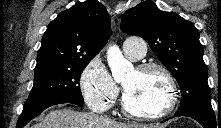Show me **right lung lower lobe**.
Masks as SVG:
<instances>
[{"label":"right lung lower lobe","instance_id":"right-lung-lower-lobe-1","mask_svg":"<svg viewBox=\"0 0 221 128\" xmlns=\"http://www.w3.org/2000/svg\"><path fill=\"white\" fill-rule=\"evenodd\" d=\"M62 103H73V104L81 106V104L78 102L68 100V99H63V98H57V99L46 100V101H43L41 103L29 106V107H25L23 108V111L17 122V128L24 127L31 119L35 118L37 115L43 112L46 108L52 105L62 104Z\"/></svg>","mask_w":221,"mask_h":128}]
</instances>
